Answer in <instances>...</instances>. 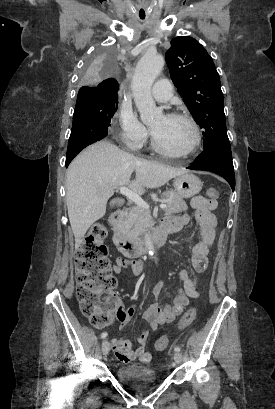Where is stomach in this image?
<instances>
[{
    "label": "stomach",
    "mask_w": 275,
    "mask_h": 409,
    "mask_svg": "<svg viewBox=\"0 0 275 409\" xmlns=\"http://www.w3.org/2000/svg\"><path fill=\"white\" fill-rule=\"evenodd\" d=\"M173 186L183 198H191L198 194L202 188V182L198 176L192 174V172H185V174H179L175 176Z\"/></svg>",
    "instance_id": "0dacf381"
}]
</instances>
